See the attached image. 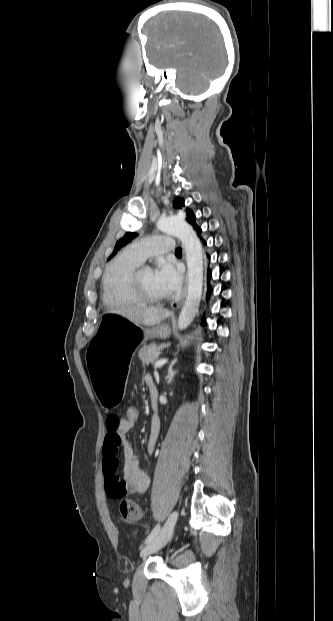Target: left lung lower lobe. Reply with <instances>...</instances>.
I'll list each match as a JSON object with an SVG mask.
<instances>
[{"label": "left lung lower lobe", "instance_id": "obj_1", "mask_svg": "<svg viewBox=\"0 0 333 621\" xmlns=\"http://www.w3.org/2000/svg\"><path fill=\"white\" fill-rule=\"evenodd\" d=\"M195 230H196L197 234L199 235V237H201V236H200V235H201V232H202L201 228L196 227V228H195ZM201 239H202V238H201ZM202 241H203V243H204V244H206V242H205L203 239H202ZM208 258H209V256H208ZM207 278H208V292H207V299H208V298H209V296H210V294H211V292H212V288H211V286H210V284H209V281H210V278H211V271H210V270H208V273H207Z\"/></svg>", "mask_w": 333, "mask_h": 621}]
</instances>
